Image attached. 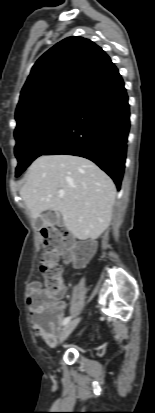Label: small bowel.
<instances>
[{
	"mask_svg": "<svg viewBox=\"0 0 155 413\" xmlns=\"http://www.w3.org/2000/svg\"><path fill=\"white\" fill-rule=\"evenodd\" d=\"M38 295H45L48 298V307H53L54 309L53 316L44 325L39 321V310L37 308ZM26 300L33 318L35 333L39 335L48 346L55 347L58 344V337H60L62 333L66 303L63 301L54 302L49 292L44 290L40 282L30 284Z\"/></svg>",
	"mask_w": 155,
	"mask_h": 413,
	"instance_id": "1",
	"label": "small bowel"
}]
</instances>
